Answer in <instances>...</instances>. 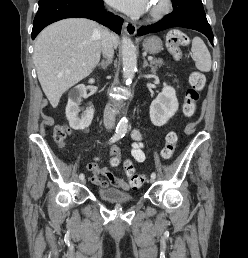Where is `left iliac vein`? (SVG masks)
I'll return each instance as SVG.
<instances>
[{
    "label": "left iliac vein",
    "mask_w": 248,
    "mask_h": 258,
    "mask_svg": "<svg viewBox=\"0 0 248 258\" xmlns=\"http://www.w3.org/2000/svg\"><path fill=\"white\" fill-rule=\"evenodd\" d=\"M154 181H155V178H150V179H149V182H150V183H154Z\"/></svg>",
    "instance_id": "left-iliac-vein-1"
}]
</instances>
